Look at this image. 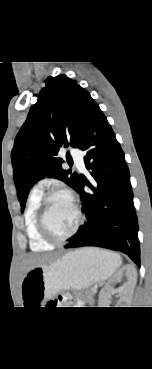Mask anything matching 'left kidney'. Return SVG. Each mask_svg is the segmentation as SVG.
<instances>
[{"label":"left kidney","mask_w":152,"mask_h":369,"mask_svg":"<svg viewBox=\"0 0 152 369\" xmlns=\"http://www.w3.org/2000/svg\"><path fill=\"white\" fill-rule=\"evenodd\" d=\"M124 276L127 277V283L124 285L122 296L127 298L134 290L137 282V271L133 266L127 265L119 270L111 280L108 281L104 289L100 292L99 306L105 307L109 303L108 293L116 292L114 284L120 281Z\"/></svg>","instance_id":"obj_1"}]
</instances>
